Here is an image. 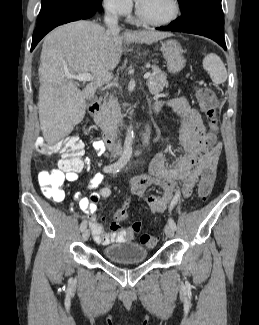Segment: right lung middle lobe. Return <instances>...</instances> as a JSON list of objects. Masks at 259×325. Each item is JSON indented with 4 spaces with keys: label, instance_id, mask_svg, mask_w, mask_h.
I'll return each mask as SVG.
<instances>
[{
    "label": "right lung middle lobe",
    "instance_id": "dd1d6c3e",
    "mask_svg": "<svg viewBox=\"0 0 259 325\" xmlns=\"http://www.w3.org/2000/svg\"><path fill=\"white\" fill-rule=\"evenodd\" d=\"M101 2L102 0H42L38 20L44 17L51 10L64 6H78L99 11L102 7Z\"/></svg>",
    "mask_w": 259,
    "mask_h": 325
}]
</instances>
